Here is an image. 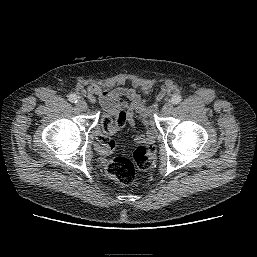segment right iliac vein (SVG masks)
Segmentation results:
<instances>
[{"instance_id": "right-iliac-vein-1", "label": "right iliac vein", "mask_w": 257, "mask_h": 257, "mask_svg": "<svg viewBox=\"0 0 257 257\" xmlns=\"http://www.w3.org/2000/svg\"><path fill=\"white\" fill-rule=\"evenodd\" d=\"M76 106H77L80 110H82V111H85V110H87V108H88V105H87V103H86L84 100H79V101L77 102Z\"/></svg>"}]
</instances>
